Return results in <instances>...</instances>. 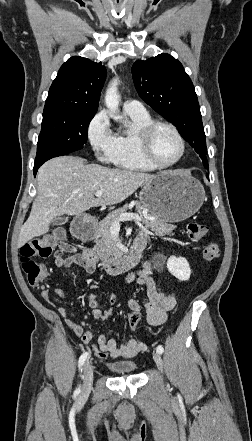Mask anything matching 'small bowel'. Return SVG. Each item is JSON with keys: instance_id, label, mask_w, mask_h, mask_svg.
Returning a JSON list of instances; mask_svg holds the SVG:
<instances>
[{"instance_id": "c3829d8e", "label": "small bowel", "mask_w": 252, "mask_h": 441, "mask_svg": "<svg viewBox=\"0 0 252 441\" xmlns=\"http://www.w3.org/2000/svg\"><path fill=\"white\" fill-rule=\"evenodd\" d=\"M146 239L143 234H139L134 243H143L145 245ZM55 266L57 268H68L72 265H79L88 273H94L96 270L95 262L86 260L83 256L76 253L73 246L67 245L65 249H59L55 253ZM125 283H138L146 291V299L143 304L135 299H127L125 301L126 307L131 309H144L146 313L147 322L152 326L162 325L166 319L167 314L176 305V296L173 293L164 294L157 290L156 284L153 278V263L149 258L144 263L143 269L139 271H131L127 274ZM54 293L64 298L66 296L65 291L60 287H55ZM42 297L53 306L51 302V292L44 290ZM87 305L90 308V314L94 319H100L102 310L100 309L98 296L95 293H90L86 297ZM117 301V297L114 293L110 294L109 304L113 306ZM58 314L64 318L65 324L71 328L75 335L79 337L84 343H88L92 340V333L84 330L83 322L73 321L65 308L56 307ZM99 350L106 352L111 358H122L125 360L136 357L141 352H144L147 348L146 344L140 340L129 339L126 343L118 345L117 342L109 338L105 334H101L98 339Z\"/></svg>"}]
</instances>
